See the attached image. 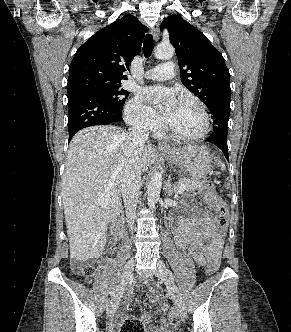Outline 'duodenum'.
<instances>
[{
    "mask_svg": "<svg viewBox=\"0 0 291 332\" xmlns=\"http://www.w3.org/2000/svg\"><path fill=\"white\" fill-rule=\"evenodd\" d=\"M112 234L116 238H120L124 231V216L123 214H118L112 222L111 226Z\"/></svg>",
    "mask_w": 291,
    "mask_h": 332,
    "instance_id": "1",
    "label": "duodenum"
}]
</instances>
